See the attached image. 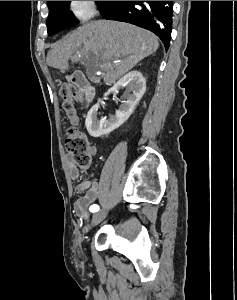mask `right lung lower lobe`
I'll list each match as a JSON object with an SVG mask.
<instances>
[{"label": "right lung lower lobe", "instance_id": "obj_1", "mask_svg": "<svg viewBox=\"0 0 237 300\" xmlns=\"http://www.w3.org/2000/svg\"><path fill=\"white\" fill-rule=\"evenodd\" d=\"M173 1H104L103 18L128 22L155 33L167 50L171 40Z\"/></svg>", "mask_w": 237, "mask_h": 300}]
</instances>
